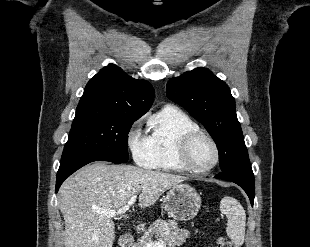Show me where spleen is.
Returning <instances> with one entry per match:
<instances>
[{
	"mask_svg": "<svg viewBox=\"0 0 310 247\" xmlns=\"http://www.w3.org/2000/svg\"><path fill=\"white\" fill-rule=\"evenodd\" d=\"M220 210L227 216L226 232L228 237L239 247L244 243L246 213L241 204L232 197H224L220 202Z\"/></svg>",
	"mask_w": 310,
	"mask_h": 247,
	"instance_id": "obj_1",
	"label": "spleen"
}]
</instances>
